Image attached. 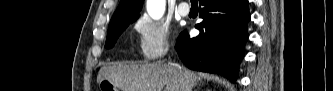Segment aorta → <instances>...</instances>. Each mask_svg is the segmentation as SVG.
<instances>
[{
  "instance_id": "obj_1",
  "label": "aorta",
  "mask_w": 333,
  "mask_h": 91,
  "mask_svg": "<svg viewBox=\"0 0 333 91\" xmlns=\"http://www.w3.org/2000/svg\"><path fill=\"white\" fill-rule=\"evenodd\" d=\"M147 11L153 19L161 18L165 11V0H148Z\"/></svg>"
}]
</instances>
